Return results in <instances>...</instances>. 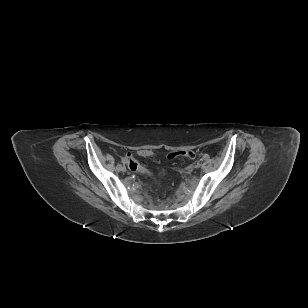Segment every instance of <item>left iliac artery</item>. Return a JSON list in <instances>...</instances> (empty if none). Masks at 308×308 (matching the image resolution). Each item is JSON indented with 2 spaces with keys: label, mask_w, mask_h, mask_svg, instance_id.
Returning <instances> with one entry per match:
<instances>
[{
  "label": "left iliac artery",
  "mask_w": 308,
  "mask_h": 308,
  "mask_svg": "<svg viewBox=\"0 0 308 308\" xmlns=\"http://www.w3.org/2000/svg\"><path fill=\"white\" fill-rule=\"evenodd\" d=\"M204 160H209V155H204Z\"/></svg>",
  "instance_id": "obj_1"
}]
</instances>
